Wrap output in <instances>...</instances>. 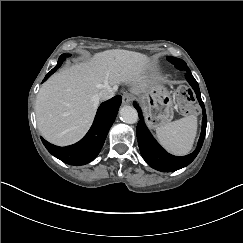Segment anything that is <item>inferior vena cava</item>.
<instances>
[{"label": "inferior vena cava", "mask_w": 243, "mask_h": 243, "mask_svg": "<svg viewBox=\"0 0 243 243\" xmlns=\"http://www.w3.org/2000/svg\"><path fill=\"white\" fill-rule=\"evenodd\" d=\"M117 91V86L104 85L101 90L98 92V98L101 100H108L115 96V92Z\"/></svg>", "instance_id": "1"}]
</instances>
